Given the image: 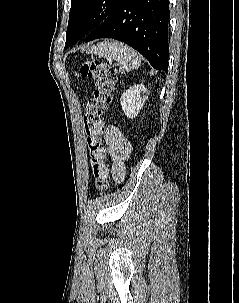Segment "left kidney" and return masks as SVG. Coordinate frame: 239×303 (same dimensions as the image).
<instances>
[{
    "label": "left kidney",
    "mask_w": 239,
    "mask_h": 303,
    "mask_svg": "<svg viewBox=\"0 0 239 303\" xmlns=\"http://www.w3.org/2000/svg\"><path fill=\"white\" fill-rule=\"evenodd\" d=\"M149 94L148 89L142 84L126 90L120 99L124 114L130 119L136 118Z\"/></svg>",
    "instance_id": "left-kidney-1"
}]
</instances>
